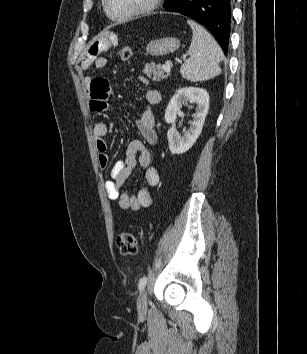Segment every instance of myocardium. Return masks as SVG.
<instances>
[{"mask_svg":"<svg viewBox=\"0 0 307 354\" xmlns=\"http://www.w3.org/2000/svg\"><path fill=\"white\" fill-rule=\"evenodd\" d=\"M161 0H146L143 5H141L138 9L134 10L133 12L123 15V16H114L110 13L109 7H108V0H102L103 2V8L104 11L107 15V17L115 22H125L132 20L134 18L140 17L142 15H145L157 8L159 5V2Z\"/></svg>","mask_w":307,"mask_h":354,"instance_id":"obj_1","label":"myocardium"}]
</instances>
